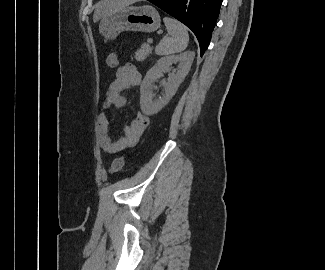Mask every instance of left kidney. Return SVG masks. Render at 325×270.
Returning a JSON list of instances; mask_svg holds the SVG:
<instances>
[{
  "mask_svg": "<svg viewBox=\"0 0 325 270\" xmlns=\"http://www.w3.org/2000/svg\"><path fill=\"white\" fill-rule=\"evenodd\" d=\"M194 57L195 53L193 51H186L179 55L166 56L160 58L146 73L140 86V105L144 114L154 115L168 104L187 76ZM176 63H178V70L170 74L167 83L164 85V95L159 100H153V83L160 73L171 71L172 64Z\"/></svg>",
  "mask_w": 325,
  "mask_h": 270,
  "instance_id": "obj_1",
  "label": "left kidney"
}]
</instances>
